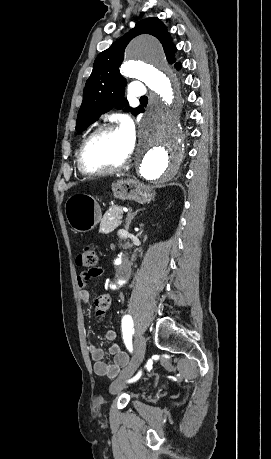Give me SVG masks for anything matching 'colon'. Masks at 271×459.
<instances>
[{"label": "colon", "instance_id": "5ec220e1", "mask_svg": "<svg viewBox=\"0 0 271 459\" xmlns=\"http://www.w3.org/2000/svg\"><path fill=\"white\" fill-rule=\"evenodd\" d=\"M76 263L78 266L94 269L98 265V256L95 249L87 245L77 256ZM111 305V295L108 293L100 294L96 297L94 303V315L97 320H101L107 313Z\"/></svg>", "mask_w": 271, "mask_h": 459}]
</instances>
